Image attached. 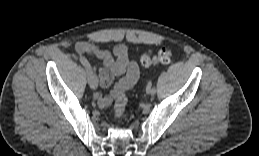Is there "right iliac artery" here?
I'll use <instances>...</instances> for the list:
<instances>
[{"label":"right iliac artery","instance_id":"right-iliac-artery-1","mask_svg":"<svg viewBox=\"0 0 259 156\" xmlns=\"http://www.w3.org/2000/svg\"><path fill=\"white\" fill-rule=\"evenodd\" d=\"M80 62L82 63V65L85 67L86 71H87V75H88V81H90V79L92 78V68L89 64V62L87 61V59L85 57H80L79 58Z\"/></svg>","mask_w":259,"mask_h":156}]
</instances>
